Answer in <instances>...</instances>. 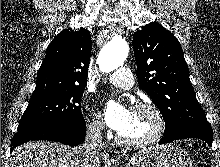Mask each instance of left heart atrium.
<instances>
[{"label":"left heart atrium","mask_w":220,"mask_h":167,"mask_svg":"<svg viewBox=\"0 0 220 167\" xmlns=\"http://www.w3.org/2000/svg\"><path fill=\"white\" fill-rule=\"evenodd\" d=\"M132 115V109L127 106L117 103L115 101H109L105 105L104 116L106 123L112 129L121 132L128 125Z\"/></svg>","instance_id":"39dd6f15"}]
</instances>
